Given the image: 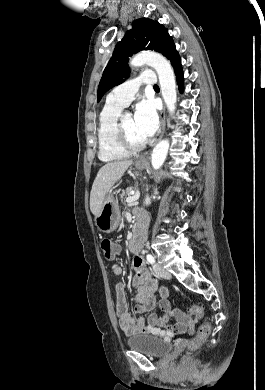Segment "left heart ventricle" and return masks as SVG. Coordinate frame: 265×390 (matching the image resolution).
Wrapping results in <instances>:
<instances>
[{
    "label": "left heart ventricle",
    "instance_id": "b2bd125f",
    "mask_svg": "<svg viewBox=\"0 0 265 390\" xmlns=\"http://www.w3.org/2000/svg\"><path fill=\"white\" fill-rule=\"evenodd\" d=\"M123 124H124V128H125V131L129 137V139L133 142V143H141L143 141H145L137 132L136 130V127H135V123H134V118L132 115L130 114H126L124 115L123 117Z\"/></svg>",
    "mask_w": 265,
    "mask_h": 390
}]
</instances>
